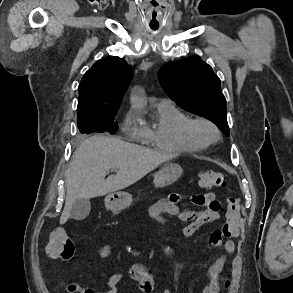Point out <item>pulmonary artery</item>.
<instances>
[{"instance_id":"obj_1","label":"pulmonary artery","mask_w":293,"mask_h":293,"mask_svg":"<svg viewBox=\"0 0 293 293\" xmlns=\"http://www.w3.org/2000/svg\"><path fill=\"white\" fill-rule=\"evenodd\" d=\"M171 103L169 100L167 99H161L159 102H158V106L160 105H165V104H169Z\"/></svg>"}]
</instances>
